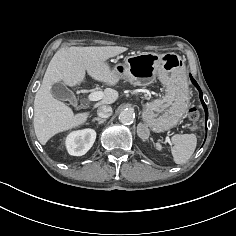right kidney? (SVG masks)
<instances>
[{"instance_id":"ca27d5eb","label":"right kidney","mask_w":236,"mask_h":236,"mask_svg":"<svg viewBox=\"0 0 236 236\" xmlns=\"http://www.w3.org/2000/svg\"><path fill=\"white\" fill-rule=\"evenodd\" d=\"M96 139V132L93 129H83L71 132L66 137V148L70 155L82 156L88 152Z\"/></svg>"}]
</instances>
